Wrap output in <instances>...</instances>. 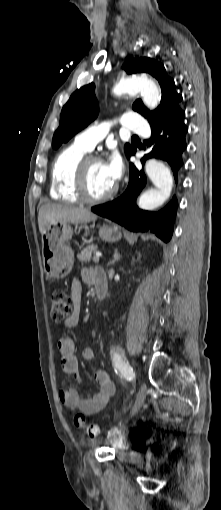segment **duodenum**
Listing matches in <instances>:
<instances>
[{"instance_id": "duodenum-1", "label": "duodenum", "mask_w": 221, "mask_h": 510, "mask_svg": "<svg viewBox=\"0 0 221 510\" xmlns=\"http://www.w3.org/2000/svg\"><path fill=\"white\" fill-rule=\"evenodd\" d=\"M93 280L97 297L103 299L107 294V275L103 268H95Z\"/></svg>"}]
</instances>
